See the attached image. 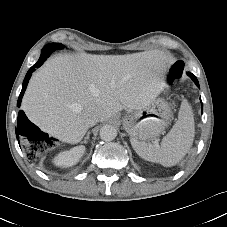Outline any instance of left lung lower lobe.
Segmentation results:
<instances>
[{"label": "left lung lower lobe", "instance_id": "0a47b994", "mask_svg": "<svg viewBox=\"0 0 227 227\" xmlns=\"http://www.w3.org/2000/svg\"><path fill=\"white\" fill-rule=\"evenodd\" d=\"M192 76H194V75H192ZM195 84L199 87V83H198V80L197 81H195Z\"/></svg>", "mask_w": 227, "mask_h": 227}]
</instances>
